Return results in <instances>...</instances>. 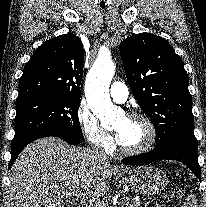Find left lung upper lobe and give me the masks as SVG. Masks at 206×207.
Instances as JSON below:
<instances>
[{
  "instance_id": "1",
  "label": "left lung upper lobe",
  "mask_w": 206,
  "mask_h": 207,
  "mask_svg": "<svg viewBox=\"0 0 206 207\" xmlns=\"http://www.w3.org/2000/svg\"><path fill=\"white\" fill-rule=\"evenodd\" d=\"M119 50L131 91L155 127L154 150L197 145L188 75L168 41L140 33L126 38Z\"/></svg>"
}]
</instances>
